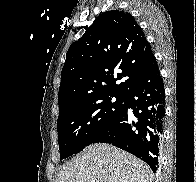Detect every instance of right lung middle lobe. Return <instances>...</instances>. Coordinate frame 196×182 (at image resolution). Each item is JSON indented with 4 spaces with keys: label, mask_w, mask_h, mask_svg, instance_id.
I'll return each mask as SVG.
<instances>
[{
    "label": "right lung middle lobe",
    "mask_w": 196,
    "mask_h": 182,
    "mask_svg": "<svg viewBox=\"0 0 196 182\" xmlns=\"http://www.w3.org/2000/svg\"><path fill=\"white\" fill-rule=\"evenodd\" d=\"M115 97L116 101H112ZM123 96H100L64 110L57 120L60 159L92 144L93 139L123 110Z\"/></svg>",
    "instance_id": "obj_1"
}]
</instances>
